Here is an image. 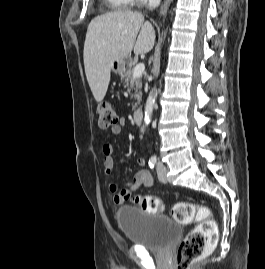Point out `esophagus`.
<instances>
[{"label":"esophagus","instance_id":"1","mask_svg":"<svg viewBox=\"0 0 265 269\" xmlns=\"http://www.w3.org/2000/svg\"><path fill=\"white\" fill-rule=\"evenodd\" d=\"M172 0H165L163 5L160 8L159 15H165L167 13V10L171 4Z\"/></svg>","mask_w":265,"mask_h":269}]
</instances>
